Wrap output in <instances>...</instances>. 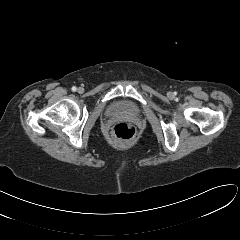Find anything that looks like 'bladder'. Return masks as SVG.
<instances>
[{"instance_id":"1","label":"bladder","mask_w":240,"mask_h":240,"mask_svg":"<svg viewBox=\"0 0 240 240\" xmlns=\"http://www.w3.org/2000/svg\"><path fill=\"white\" fill-rule=\"evenodd\" d=\"M137 113L138 108L126 101L115 102L108 109L110 115H136Z\"/></svg>"}]
</instances>
